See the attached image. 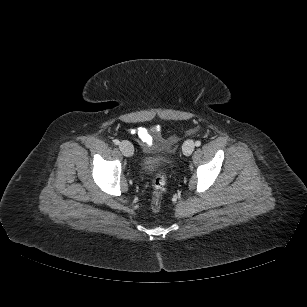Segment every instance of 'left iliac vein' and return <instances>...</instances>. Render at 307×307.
<instances>
[{
  "instance_id": "left-iliac-vein-1",
  "label": "left iliac vein",
  "mask_w": 307,
  "mask_h": 307,
  "mask_svg": "<svg viewBox=\"0 0 307 307\" xmlns=\"http://www.w3.org/2000/svg\"><path fill=\"white\" fill-rule=\"evenodd\" d=\"M195 143L193 140H187L183 144V153L186 156H190L192 152L194 151Z\"/></svg>"
}]
</instances>
